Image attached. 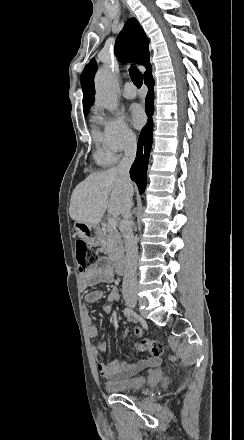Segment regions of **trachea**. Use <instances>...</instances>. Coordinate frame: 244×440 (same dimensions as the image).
<instances>
[{"label":"trachea","instance_id":"1","mask_svg":"<svg viewBox=\"0 0 244 440\" xmlns=\"http://www.w3.org/2000/svg\"><path fill=\"white\" fill-rule=\"evenodd\" d=\"M129 73L134 85H136L137 88H140L143 83L142 74L139 72V70L136 67L133 66L130 67Z\"/></svg>","mask_w":244,"mask_h":440}]
</instances>
